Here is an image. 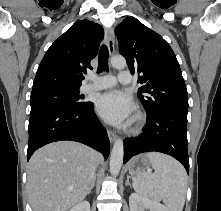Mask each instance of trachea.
<instances>
[{"label":"trachea","instance_id":"1","mask_svg":"<svg viewBox=\"0 0 221 211\" xmlns=\"http://www.w3.org/2000/svg\"><path fill=\"white\" fill-rule=\"evenodd\" d=\"M108 57V48L106 45H102L98 56V73L102 71H108Z\"/></svg>","mask_w":221,"mask_h":211}]
</instances>
